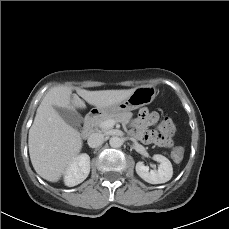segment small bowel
<instances>
[{
	"instance_id": "c3829d8e",
	"label": "small bowel",
	"mask_w": 229,
	"mask_h": 229,
	"mask_svg": "<svg viewBox=\"0 0 229 229\" xmlns=\"http://www.w3.org/2000/svg\"><path fill=\"white\" fill-rule=\"evenodd\" d=\"M158 120L159 115L157 112L142 108L130 126L131 132L137 140L147 144L152 143L154 136L147 131V128L156 124ZM177 149L182 150L181 147Z\"/></svg>"
}]
</instances>
